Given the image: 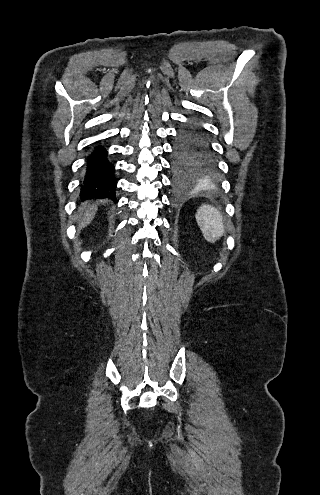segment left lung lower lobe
I'll use <instances>...</instances> for the list:
<instances>
[{
    "label": "left lung lower lobe",
    "mask_w": 320,
    "mask_h": 495,
    "mask_svg": "<svg viewBox=\"0 0 320 495\" xmlns=\"http://www.w3.org/2000/svg\"><path fill=\"white\" fill-rule=\"evenodd\" d=\"M191 127L195 128V134L194 136L197 139V147L201 154L204 156L206 161L209 164V171H213L216 168V161L214 156L212 155L211 148L209 146V143L205 137V135L200 132L195 125H191Z\"/></svg>",
    "instance_id": "left-lung-lower-lobe-1"
}]
</instances>
